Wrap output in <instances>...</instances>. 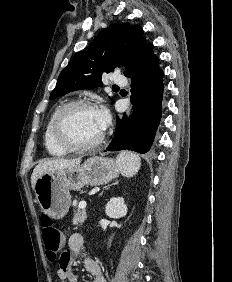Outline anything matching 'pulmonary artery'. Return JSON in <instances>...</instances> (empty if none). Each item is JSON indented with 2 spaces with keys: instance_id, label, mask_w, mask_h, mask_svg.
<instances>
[{
  "instance_id": "obj_1",
  "label": "pulmonary artery",
  "mask_w": 232,
  "mask_h": 282,
  "mask_svg": "<svg viewBox=\"0 0 232 282\" xmlns=\"http://www.w3.org/2000/svg\"><path fill=\"white\" fill-rule=\"evenodd\" d=\"M113 83L116 85H126L127 79L120 74H115L113 77Z\"/></svg>"
}]
</instances>
